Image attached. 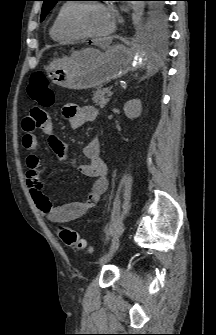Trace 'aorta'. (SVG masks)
Returning <instances> with one entry per match:
<instances>
[{
	"label": "aorta",
	"mask_w": 216,
	"mask_h": 335,
	"mask_svg": "<svg viewBox=\"0 0 216 335\" xmlns=\"http://www.w3.org/2000/svg\"><path fill=\"white\" fill-rule=\"evenodd\" d=\"M132 21L134 25H138L143 15L144 4L141 1L132 2Z\"/></svg>",
	"instance_id": "1"
}]
</instances>
